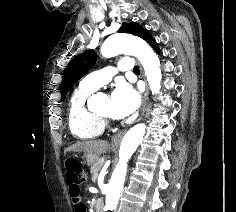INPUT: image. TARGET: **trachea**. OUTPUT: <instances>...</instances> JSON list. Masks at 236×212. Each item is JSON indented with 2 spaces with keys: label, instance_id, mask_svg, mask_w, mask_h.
Segmentation results:
<instances>
[{
  "label": "trachea",
  "instance_id": "1",
  "mask_svg": "<svg viewBox=\"0 0 236 212\" xmlns=\"http://www.w3.org/2000/svg\"><path fill=\"white\" fill-rule=\"evenodd\" d=\"M133 72L134 73H140L139 67L135 66L134 69H133Z\"/></svg>",
  "mask_w": 236,
  "mask_h": 212
}]
</instances>
